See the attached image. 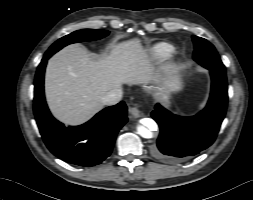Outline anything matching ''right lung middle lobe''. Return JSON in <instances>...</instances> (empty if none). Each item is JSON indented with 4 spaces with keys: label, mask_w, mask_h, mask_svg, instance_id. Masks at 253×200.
I'll use <instances>...</instances> for the list:
<instances>
[{
    "label": "right lung middle lobe",
    "mask_w": 253,
    "mask_h": 200,
    "mask_svg": "<svg viewBox=\"0 0 253 200\" xmlns=\"http://www.w3.org/2000/svg\"><path fill=\"white\" fill-rule=\"evenodd\" d=\"M108 34H109V31H106V30H95V29L78 30L57 40L47 50L46 53H55L61 48H63L64 46L71 43L98 40L107 36Z\"/></svg>",
    "instance_id": "obj_1"
}]
</instances>
